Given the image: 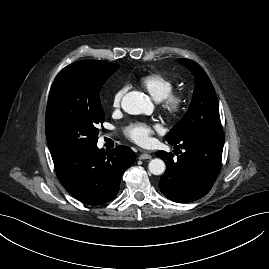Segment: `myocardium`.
<instances>
[{"mask_svg": "<svg viewBox=\"0 0 269 269\" xmlns=\"http://www.w3.org/2000/svg\"><path fill=\"white\" fill-rule=\"evenodd\" d=\"M186 98L183 93L171 92L160 101L161 109L170 118H178L184 111Z\"/></svg>", "mask_w": 269, "mask_h": 269, "instance_id": "1", "label": "myocardium"}]
</instances>
